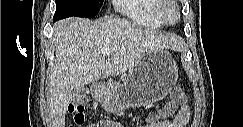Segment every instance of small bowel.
I'll return each instance as SVG.
<instances>
[{
	"mask_svg": "<svg viewBox=\"0 0 243 127\" xmlns=\"http://www.w3.org/2000/svg\"><path fill=\"white\" fill-rule=\"evenodd\" d=\"M190 118V109L187 104L180 106L179 112L173 120L168 118H159L157 115H150L147 118L146 127H184L187 125ZM121 127L120 124L110 121H100L91 127Z\"/></svg>",
	"mask_w": 243,
	"mask_h": 127,
	"instance_id": "obj_1",
	"label": "small bowel"
}]
</instances>
